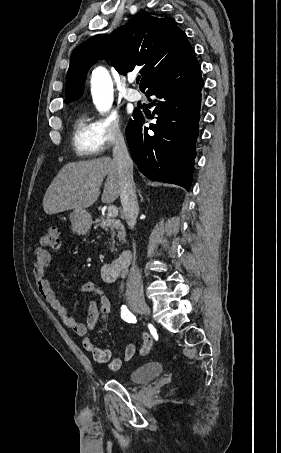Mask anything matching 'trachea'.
<instances>
[{
  "instance_id": "trachea-1",
  "label": "trachea",
  "mask_w": 281,
  "mask_h": 453,
  "mask_svg": "<svg viewBox=\"0 0 281 453\" xmlns=\"http://www.w3.org/2000/svg\"><path fill=\"white\" fill-rule=\"evenodd\" d=\"M139 81H140V76H138V77L136 78V83H139Z\"/></svg>"
}]
</instances>
